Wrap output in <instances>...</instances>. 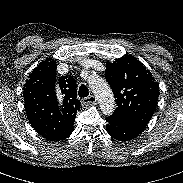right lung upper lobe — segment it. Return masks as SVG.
Masks as SVG:
<instances>
[{"label": "right lung upper lobe", "instance_id": "obj_1", "mask_svg": "<svg viewBox=\"0 0 183 183\" xmlns=\"http://www.w3.org/2000/svg\"><path fill=\"white\" fill-rule=\"evenodd\" d=\"M56 62H41L24 85L25 110L32 127L48 140L60 141L73 132L77 111L76 81L70 76L56 77Z\"/></svg>", "mask_w": 183, "mask_h": 183}]
</instances>
